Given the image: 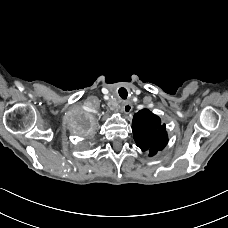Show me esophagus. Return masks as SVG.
Returning a JSON list of instances; mask_svg holds the SVG:
<instances>
[{
    "label": "esophagus",
    "instance_id": "obj_1",
    "mask_svg": "<svg viewBox=\"0 0 228 228\" xmlns=\"http://www.w3.org/2000/svg\"><path fill=\"white\" fill-rule=\"evenodd\" d=\"M132 104L130 101H123L122 102V111L125 113V114H129L131 111H132Z\"/></svg>",
    "mask_w": 228,
    "mask_h": 228
}]
</instances>
